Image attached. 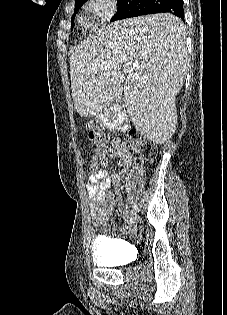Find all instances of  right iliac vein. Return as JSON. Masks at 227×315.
Returning <instances> with one entry per match:
<instances>
[{
  "instance_id": "1",
  "label": "right iliac vein",
  "mask_w": 227,
  "mask_h": 315,
  "mask_svg": "<svg viewBox=\"0 0 227 315\" xmlns=\"http://www.w3.org/2000/svg\"><path fill=\"white\" fill-rule=\"evenodd\" d=\"M138 219V215L137 214H133L132 216L129 217V219L127 220L128 224H133L136 220Z\"/></svg>"
}]
</instances>
